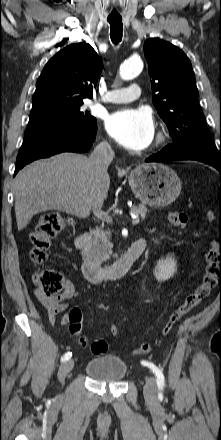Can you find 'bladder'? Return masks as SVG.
Returning a JSON list of instances; mask_svg holds the SVG:
<instances>
[{"instance_id":"1","label":"bladder","mask_w":221,"mask_h":440,"mask_svg":"<svg viewBox=\"0 0 221 440\" xmlns=\"http://www.w3.org/2000/svg\"><path fill=\"white\" fill-rule=\"evenodd\" d=\"M127 371L126 362L116 355H102L92 358L85 366V372L90 378L110 383L122 381Z\"/></svg>"}]
</instances>
